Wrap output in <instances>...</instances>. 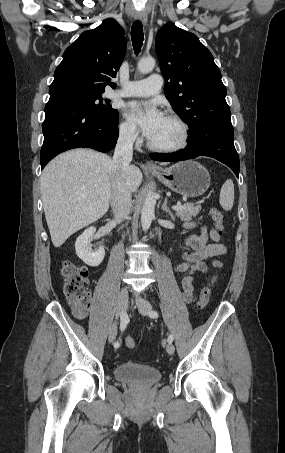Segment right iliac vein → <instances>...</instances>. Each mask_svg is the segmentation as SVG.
I'll use <instances>...</instances> for the list:
<instances>
[{
    "instance_id": "obj_1",
    "label": "right iliac vein",
    "mask_w": 285,
    "mask_h": 453,
    "mask_svg": "<svg viewBox=\"0 0 285 453\" xmlns=\"http://www.w3.org/2000/svg\"><path fill=\"white\" fill-rule=\"evenodd\" d=\"M128 304V290L127 288H122L116 305V317H121L122 313L125 312ZM117 335V324L113 323L108 332V340L109 342H113Z\"/></svg>"
}]
</instances>
